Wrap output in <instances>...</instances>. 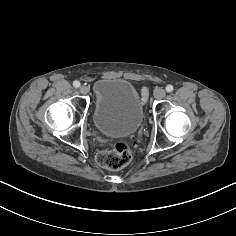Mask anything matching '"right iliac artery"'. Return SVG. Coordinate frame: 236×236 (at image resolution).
Instances as JSON below:
<instances>
[{
  "mask_svg": "<svg viewBox=\"0 0 236 236\" xmlns=\"http://www.w3.org/2000/svg\"><path fill=\"white\" fill-rule=\"evenodd\" d=\"M73 86L78 88L80 86V82L79 81H74Z\"/></svg>",
  "mask_w": 236,
  "mask_h": 236,
  "instance_id": "82829eb1",
  "label": "right iliac artery"
}]
</instances>
